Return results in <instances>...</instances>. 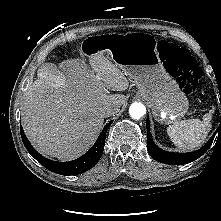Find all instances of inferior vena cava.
<instances>
[{
    "instance_id": "1",
    "label": "inferior vena cava",
    "mask_w": 221,
    "mask_h": 221,
    "mask_svg": "<svg viewBox=\"0 0 221 221\" xmlns=\"http://www.w3.org/2000/svg\"><path fill=\"white\" fill-rule=\"evenodd\" d=\"M120 110V107L117 105H109L103 109V115L105 117L112 116Z\"/></svg>"
}]
</instances>
